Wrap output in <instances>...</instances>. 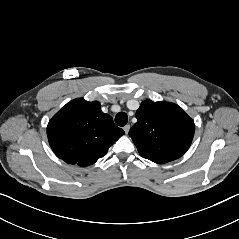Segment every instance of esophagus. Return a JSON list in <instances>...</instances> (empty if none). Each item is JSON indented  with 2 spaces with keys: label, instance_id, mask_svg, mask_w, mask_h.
Returning a JSON list of instances; mask_svg holds the SVG:
<instances>
[{
  "label": "esophagus",
  "instance_id": "1",
  "mask_svg": "<svg viewBox=\"0 0 239 239\" xmlns=\"http://www.w3.org/2000/svg\"><path fill=\"white\" fill-rule=\"evenodd\" d=\"M123 129H124L125 133L128 134V132H129V130H130V125L124 126Z\"/></svg>",
  "mask_w": 239,
  "mask_h": 239
}]
</instances>
